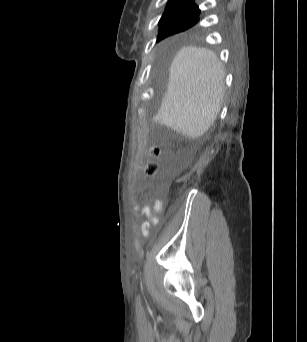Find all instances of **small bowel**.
Masks as SVG:
<instances>
[{
	"label": "small bowel",
	"instance_id": "small-bowel-1",
	"mask_svg": "<svg viewBox=\"0 0 307 342\" xmlns=\"http://www.w3.org/2000/svg\"><path fill=\"white\" fill-rule=\"evenodd\" d=\"M162 206V201L156 200L154 203L153 210L148 205L142 208L141 213L149 219V221H146L141 225V233L143 237L148 236L151 224H156L158 222L156 214L161 212Z\"/></svg>",
	"mask_w": 307,
	"mask_h": 342
}]
</instances>
